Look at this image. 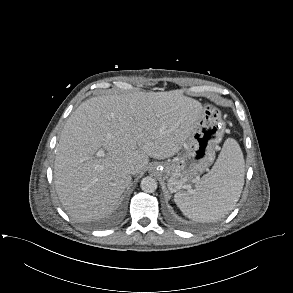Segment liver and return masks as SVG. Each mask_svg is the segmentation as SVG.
<instances>
[{"label": "liver", "instance_id": "1", "mask_svg": "<svg viewBox=\"0 0 293 293\" xmlns=\"http://www.w3.org/2000/svg\"><path fill=\"white\" fill-rule=\"evenodd\" d=\"M201 103L182 90L107 95L84 101L68 118L56 146L54 183L75 220L111 214L132 177L149 157L175 155L202 114ZM100 151H105L100 154Z\"/></svg>", "mask_w": 293, "mask_h": 293}]
</instances>
